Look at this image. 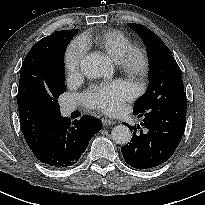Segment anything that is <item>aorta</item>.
<instances>
[{
  "instance_id": "obj_1",
  "label": "aorta",
  "mask_w": 205,
  "mask_h": 205,
  "mask_svg": "<svg viewBox=\"0 0 205 205\" xmlns=\"http://www.w3.org/2000/svg\"><path fill=\"white\" fill-rule=\"evenodd\" d=\"M80 69L87 78H100L110 72L107 59L99 53L87 54L80 63ZM111 137L115 143L125 145L132 134L127 126L120 124L112 129Z\"/></svg>"
}]
</instances>
